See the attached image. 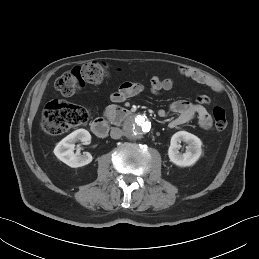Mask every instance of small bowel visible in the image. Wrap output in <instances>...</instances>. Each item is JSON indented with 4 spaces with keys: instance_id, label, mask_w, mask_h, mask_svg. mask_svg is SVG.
Returning <instances> with one entry per match:
<instances>
[{
    "instance_id": "small-bowel-1",
    "label": "small bowel",
    "mask_w": 259,
    "mask_h": 259,
    "mask_svg": "<svg viewBox=\"0 0 259 259\" xmlns=\"http://www.w3.org/2000/svg\"><path fill=\"white\" fill-rule=\"evenodd\" d=\"M178 73L185 78L191 79L199 84L206 85L215 92L222 91V85L218 80L205 74L199 70L181 66L178 68ZM174 81L171 78L161 79L154 76L150 82V89L153 94H159L163 91H169L173 88ZM143 91V85L138 82L125 81L119 88L111 93L110 99L115 103L125 101L127 98L135 96ZM210 100L207 96H199L197 101L190 102L187 100H176L170 105V111L176 114V117L169 123L171 128L183 125L196 116L199 120V125L204 130H209L212 127V119L208 114L205 105H208ZM160 117H166L168 112L164 109L158 111Z\"/></svg>"
}]
</instances>
